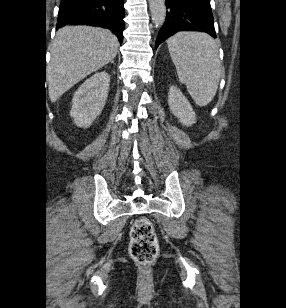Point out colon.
<instances>
[{"mask_svg":"<svg viewBox=\"0 0 286 308\" xmlns=\"http://www.w3.org/2000/svg\"><path fill=\"white\" fill-rule=\"evenodd\" d=\"M131 257L140 264L153 262L159 253V242L152 222L145 217L138 218L130 232Z\"/></svg>","mask_w":286,"mask_h":308,"instance_id":"5ec220e1","label":"colon"}]
</instances>
